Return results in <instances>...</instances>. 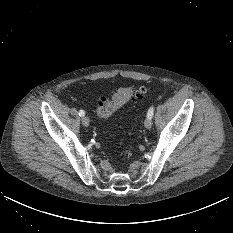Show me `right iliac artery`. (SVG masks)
<instances>
[{"label": "right iliac artery", "instance_id": "obj_1", "mask_svg": "<svg viewBox=\"0 0 233 233\" xmlns=\"http://www.w3.org/2000/svg\"><path fill=\"white\" fill-rule=\"evenodd\" d=\"M79 116H81V117L85 116V112L83 110H80L79 111Z\"/></svg>", "mask_w": 233, "mask_h": 233}]
</instances>
